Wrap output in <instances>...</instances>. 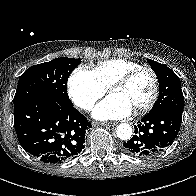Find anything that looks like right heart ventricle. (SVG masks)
Instances as JSON below:
<instances>
[{
	"mask_svg": "<svg viewBox=\"0 0 196 196\" xmlns=\"http://www.w3.org/2000/svg\"><path fill=\"white\" fill-rule=\"evenodd\" d=\"M140 66L139 63L132 60L113 58L99 62L92 72L99 83L107 89L116 79Z\"/></svg>",
	"mask_w": 196,
	"mask_h": 196,
	"instance_id": "e07e8e85",
	"label": "right heart ventricle"
}]
</instances>
